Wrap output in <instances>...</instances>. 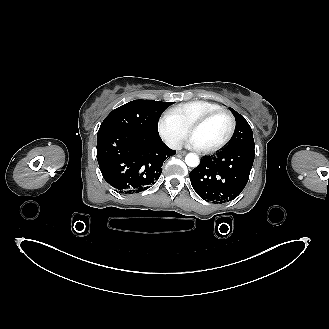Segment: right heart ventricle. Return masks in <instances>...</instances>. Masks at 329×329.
<instances>
[{
  "label": "right heart ventricle",
  "instance_id": "right-heart-ventricle-1",
  "mask_svg": "<svg viewBox=\"0 0 329 329\" xmlns=\"http://www.w3.org/2000/svg\"><path fill=\"white\" fill-rule=\"evenodd\" d=\"M222 107L214 102L195 100L179 104L169 110L186 128L198 118Z\"/></svg>",
  "mask_w": 329,
  "mask_h": 329
}]
</instances>
